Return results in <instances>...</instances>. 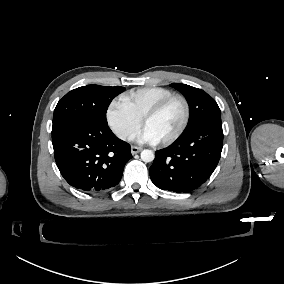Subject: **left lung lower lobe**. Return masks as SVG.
Listing matches in <instances>:
<instances>
[{"instance_id": "0a47b994", "label": "left lung lower lobe", "mask_w": 284, "mask_h": 284, "mask_svg": "<svg viewBox=\"0 0 284 284\" xmlns=\"http://www.w3.org/2000/svg\"><path fill=\"white\" fill-rule=\"evenodd\" d=\"M222 123L209 121L189 129L169 147L156 151L149 174L160 189L188 193L215 170L222 151Z\"/></svg>"}]
</instances>
